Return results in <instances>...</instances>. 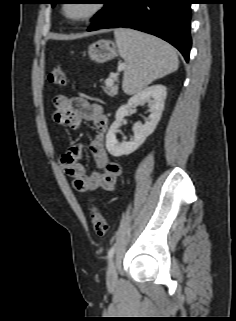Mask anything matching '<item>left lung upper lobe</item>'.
Instances as JSON below:
<instances>
[{"label":"left lung upper lobe","mask_w":236,"mask_h":321,"mask_svg":"<svg viewBox=\"0 0 236 321\" xmlns=\"http://www.w3.org/2000/svg\"><path fill=\"white\" fill-rule=\"evenodd\" d=\"M102 4H104V8L102 10H100L95 17L92 19V21H94L97 17H99L102 13H104L107 8L110 6V4L112 3L113 0H100ZM50 3L52 4V6H54L55 4H57L55 2V0H51Z\"/></svg>","instance_id":"1"}]
</instances>
